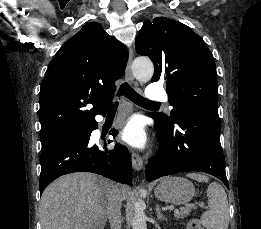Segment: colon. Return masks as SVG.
Instances as JSON below:
<instances>
[{"mask_svg":"<svg viewBox=\"0 0 261 229\" xmlns=\"http://www.w3.org/2000/svg\"><path fill=\"white\" fill-rule=\"evenodd\" d=\"M200 225L198 223V221L196 220H192L190 221L189 225H188V229H199Z\"/></svg>","mask_w":261,"mask_h":229,"instance_id":"5ec220e1","label":"colon"}]
</instances>
